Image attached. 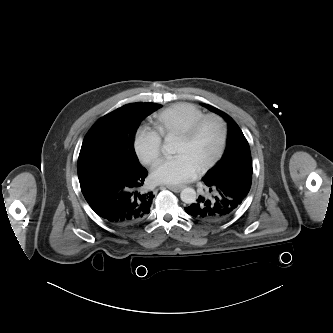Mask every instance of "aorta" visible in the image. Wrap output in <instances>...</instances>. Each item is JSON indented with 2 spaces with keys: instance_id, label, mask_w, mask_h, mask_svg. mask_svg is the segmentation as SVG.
<instances>
[{
  "instance_id": "obj_1",
  "label": "aorta",
  "mask_w": 333,
  "mask_h": 333,
  "mask_svg": "<svg viewBox=\"0 0 333 333\" xmlns=\"http://www.w3.org/2000/svg\"><path fill=\"white\" fill-rule=\"evenodd\" d=\"M163 150L170 152V153H174L173 144L170 142H166L163 145ZM180 198L184 203L192 204L196 201V192L193 188H189V187L185 188L181 191Z\"/></svg>"
}]
</instances>
